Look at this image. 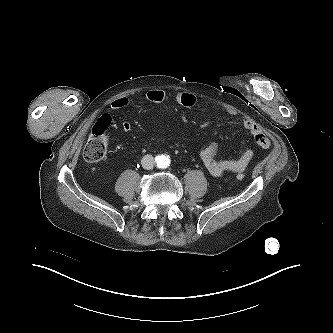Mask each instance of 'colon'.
I'll return each mask as SVG.
<instances>
[{"instance_id": "1", "label": "colon", "mask_w": 333, "mask_h": 333, "mask_svg": "<svg viewBox=\"0 0 333 333\" xmlns=\"http://www.w3.org/2000/svg\"><path fill=\"white\" fill-rule=\"evenodd\" d=\"M110 125L111 117L109 115L101 116L96 122L83 150V156L86 161L95 163L106 156L108 147L106 132ZM244 177L245 175L242 173L236 175L238 180H242Z\"/></svg>"}]
</instances>
